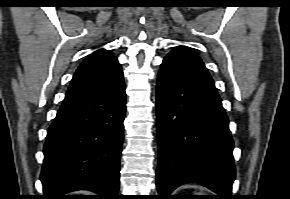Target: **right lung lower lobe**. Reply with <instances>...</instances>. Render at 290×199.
<instances>
[{
	"label": "right lung lower lobe",
	"instance_id": "obj_1",
	"mask_svg": "<svg viewBox=\"0 0 290 199\" xmlns=\"http://www.w3.org/2000/svg\"><path fill=\"white\" fill-rule=\"evenodd\" d=\"M125 110L124 79L62 103L44 145L42 199H70L64 194L76 190L117 198Z\"/></svg>",
	"mask_w": 290,
	"mask_h": 199
}]
</instances>
